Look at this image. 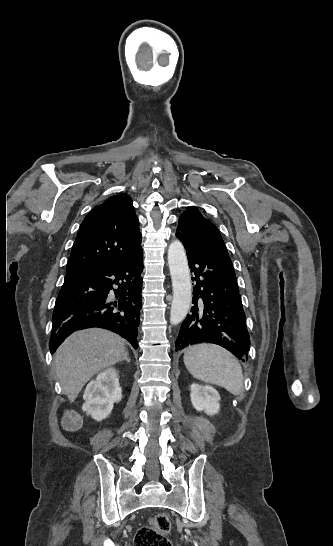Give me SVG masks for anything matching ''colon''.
<instances>
[{
	"instance_id": "colon-1",
	"label": "colon",
	"mask_w": 333,
	"mask_h": 546,
	"mask_svg": "<svg viewBox=\"0 0 333 546\" xmlns=\"http://www.w3.org/2000/svg\"><path fill=\"white\" fill-rule=\"evenodd\" d=\"M171 528L170 517L166 513H158L154 524L143 526L136 532L134 546H171L167 534Z\"/></svg>"
}]
</instances>
